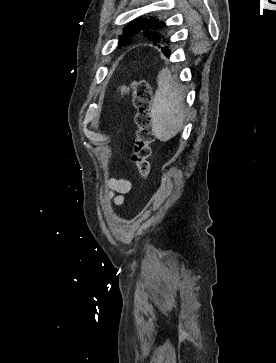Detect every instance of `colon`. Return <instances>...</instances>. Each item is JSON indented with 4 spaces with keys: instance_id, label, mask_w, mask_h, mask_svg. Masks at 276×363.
Wrapping results in <instances>:
<instances>
[{
    "instance_id": "colon-1",
    "label": "colon",
    "mask_w": 276,
    "mask_h": 363,
    "mask_svg": "<svg viewBox=\"0 0 276 363\" xmlns=\"http://www.w3.org/2000/svg\"><path fill=\"white\" fill-rule=\"evenodd\" d=\"M129 92H132L134 106L137 110L135 123L138 127L132 161L140 176L147 178L150 170L151 144L155 139L151 117L152 91L146 80H135L120 89L122 95Z\"/></svg>"
}]
</instances>
